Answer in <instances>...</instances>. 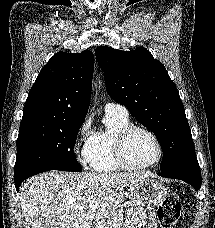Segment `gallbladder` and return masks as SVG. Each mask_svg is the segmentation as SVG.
Returning a JSON list of instances; mask_svg holds the SVG:
<instances>
[{"label":"gallbladder","instance_id":"1","mask_svg":"<svg viewBox=\"0 0 215 228\" xmlns=\"http://www.w3.org/2000/svg\"><path fill=\"white\" fill-rule=\"evenodd\" d=\"M42 228H46V226H42Z\"/></svg>","mask_w":215,"mask_h":228}]
</instances>
